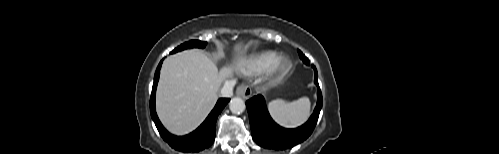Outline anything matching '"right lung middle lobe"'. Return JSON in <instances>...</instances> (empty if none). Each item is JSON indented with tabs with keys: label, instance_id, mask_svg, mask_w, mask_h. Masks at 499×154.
Returning a JSON list of instances; mask_svg holds the SVG:
<instances>
[{
	"label": "right lung middle lobe",
	"instance_id": "dd1d6c3e",
	"mask_svg": "<svg viewBox=\"0 0 499 154\" xmlns=\"http://www.w3.org/2000/svg\"><path fill=\"white\" fill-rule=\"evenodd\" d=\"M205 46H206V42H202L199 40H191V41L185 42L184 44L175 48L171 52V54L176 53V52L181 51V50H184V49H188V48H204Z\"/></svg>",
	"mask_w": 499,
	"mask_h": 154
}]
</instances>
